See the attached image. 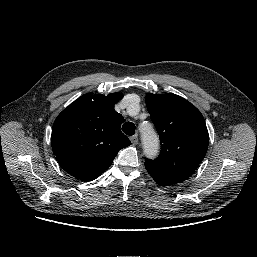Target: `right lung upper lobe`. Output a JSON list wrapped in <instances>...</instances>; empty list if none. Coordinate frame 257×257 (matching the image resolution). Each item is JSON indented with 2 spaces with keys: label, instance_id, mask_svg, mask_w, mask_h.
Here are the masks:
<instances>
[{
  "label": "right lung upper lobe",
  "instance_id": "right-lung-upper-lobe-1",
  "mask_svg": "<svg viewBox=\"0 0 257 257\" xmlns=\"http://www.w3.org/2000/svg\"><path fill=\"white\" fill-rule=\"evenodd\" d=\"M121 93L85 94L56 118L51 137L60 166L83 181L96 179L113 162L118 151L130 145L121 132L123 116L114 110Z\"/></svg>",
  "mask_w": 257,
  "mask_h": 257
}]
</instances>
